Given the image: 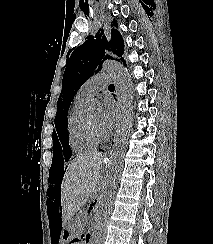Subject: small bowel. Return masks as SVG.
Segmentation results:
<instances>
[{
  "mask_svg": "<svg viewBox=\"0 0 213 244\" xmlns=\"http://www.w3.org/2000/svg\"><path fill=\"white\" fill-rule=\"evenodd\" d=\"M70 244H87V242H85L83 240H74Z\"/></svg>",
  "mask_w": 213,
  "mask_h": 244,
  "instance_id": "obj_1",
  "label": "small bowel"
}]
</instances>
